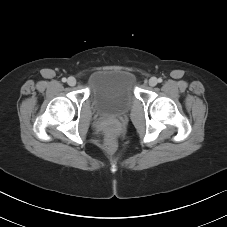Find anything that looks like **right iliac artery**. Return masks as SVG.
I'll return each instance as SVG.
<instances>
[{"instance_id": "right-iliac-artery-1", "label": "right iliac artery", "mask_w": 227, "mask_h": 227, "mask_svg": "<svg viewBox=\"0 0 227 227\" xmlns=\"http://www.w3.org/2000/svg\"><path fill=\"white\" fill-rule=\"evenodd\" d=\"M67 81V79L66 78H62V82H66Z\"/></svg>"}]
</instances>
